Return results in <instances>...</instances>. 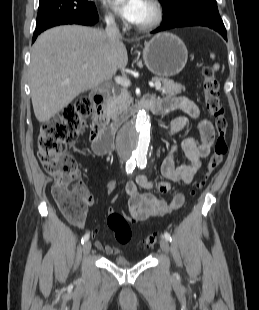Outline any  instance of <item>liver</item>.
I'll return each instance as SVG.
<instances>
[{
  "label": "liver",
  "mask_w": 259,
  "mask_h": 310,
  "mask_svg": "<svg viewBox=\"0 0 259 310\" xmlns=\"http://www.w3.org/2000/svg\"><path fill=\"white\" fill-rule=\"evenodd\" d=\"M127 63L121 39L112 42L102 30L67 25L45 31L32 47L29 71L37 120L48 121L79 94L110 80Z\"/></svg>",
  "instance_id": "liver-1"
}]
</instances>
